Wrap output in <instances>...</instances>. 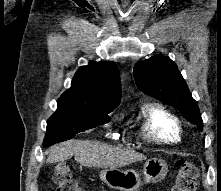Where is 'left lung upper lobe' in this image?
I'll return each instance as SVG.
<instances>
[{"label":"left lung upper lobe","instance_id":"left-lung-upper-lobe-1","mask_svg":"<svg viewBox=\"0 0 221 191\" xmlns=\"http://www.w3.org/2000/svg\"><path fill=\"white\" fill-rule=\"evenodd\" d=\"M134 79L144 93L178 109L202 130L203 121L185 80L170 58L156 55L134 66Z\"/></svg>","mask_w":221,"mask_h":191}]
</instances>
